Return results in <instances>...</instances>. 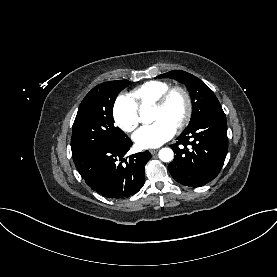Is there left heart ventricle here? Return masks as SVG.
I'll return each mask as SVG.
<instances>
[{"label":"left heart ventricle","mask_w":277,"mask_h":277,"mask_svg":"<svg viewBox=\"0 0 277 277\" xmlns=\"http://www.w3.org/2000/svg\"><path fill=\"white\" fill-rule=\"evenodd\" d=\"M185 111V100L179 93L172 95L167 105L162 109H154L151 111L152 121L163 119L171 122L175 126L182 118Z\"/></svg>","instance_id":"b2bd125f"}]
</instances>
